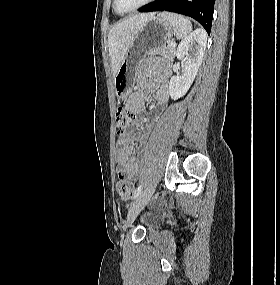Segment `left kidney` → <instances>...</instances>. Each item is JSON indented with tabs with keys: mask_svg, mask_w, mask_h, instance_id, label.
Listing matches in <instances>:
<instances>
[{
	"mask_svg": "<svg viewBox=\"0 0 280 285\" xmlns=\"http://www.w3.org/2000/svg\"><path fill=\"white\" fill-rule=\"evenodd\" d=\"M206 42L205 31L196 29L178 45L176 56L184 62V69L182 76H173L170 79L169 94L172 99L185 95L192 85L204 56Z\"/></svg>",
	"mask_w": 280,
	"mask_h": 285,
	"instance_id": "1",
	"label": "left kidney"
}]
</instances>
